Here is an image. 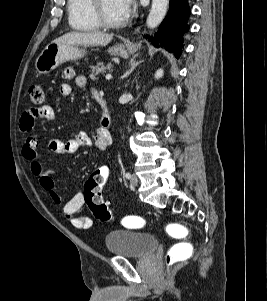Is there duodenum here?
Wrapping results in <instances>:
<instances>
[{
  "label": "duodenum",
  "mask_w": 267,
  "mask_h": 301,
  "mask_svg": "<svg viewBox=\"0 0 267 301\" xmlns=\"http://www.w3.org/2000/svg\"><path fill=\"white\" fill-rule=\"evenodd\" d=\"M94 97H95L96 101L100 104V106L102 108L101 126L105 130L109 131V127L111 125V116H110V113H109L108 108H107L106 100L98 92L94 95Z\"/></svg>",
  "instance_id": "410a0bca"
}]
</instances>
